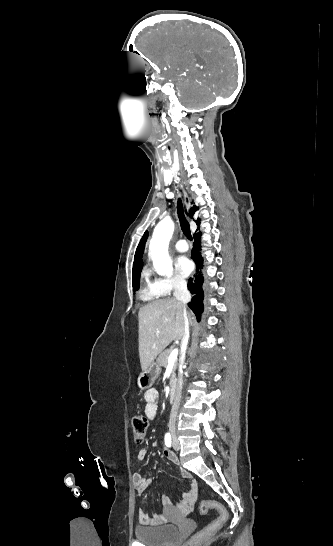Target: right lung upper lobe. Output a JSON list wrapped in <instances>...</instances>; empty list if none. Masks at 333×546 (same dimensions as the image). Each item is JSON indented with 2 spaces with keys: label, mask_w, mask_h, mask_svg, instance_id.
Here are the masks:
<instances>
[{
  "label": "right lung upper lobe",
  "mask_w": 333,
  "mask_h": 546,
  "mask_svg": "<svg viewBox=\"0 0 333 546\" xmlns=\"http://www.w3.org/2000/svg\"><path fill=\"white\" fill-rule=\"evenodd\" d=\"M197 210V207L196 206H193L191 207L190 211H189V217L192 218L193 217V214L195 213V211ZM197 224H199V219L196 221ZM147 237H148V231H146L143 235V237L141 238L140 242H139V245L137 247V250H136V253H135V259H134V263H133V283L135 281L134 279V272L136 271L137 273L140 274L141 272V269H142V256H143V252H144V248H145V243L147 241Z\"/></svg>",
  "instance_id": "1"
}]
</instances>
